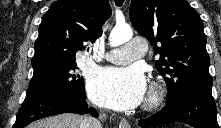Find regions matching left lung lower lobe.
Returning <instances> with one entry per match:
<instances>
[{"mask_svg": "<svg viewBox=\"0 0 221 128\" xmlns=\"http://www.w3.org/2000/svg\"><path fill=\"white\" fill-rule=\"evenodd\" d=\"M216 105L209 92H192L167 104L160 111L138 122L140 127H156L173 122H183L195 128H219Z\"/></svg>", "mask_w": 221, "mask_h": 128, "instance_id": "1", "label": "left lung lower lobe"}]
</instances>
